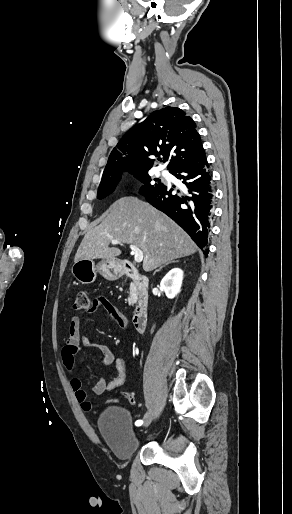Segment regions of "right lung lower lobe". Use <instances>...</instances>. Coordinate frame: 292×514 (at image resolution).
I'll return each mask as SVG.
<instances>
[{"label": "right lung lower lobe", "mask_w": 292, "mask_h": 514, "mask_svg": "<svg viewBox=\"0 0 292 514\" xmlns=\"http://www.w3.org/2000/svg\"><path fill=\"white\" fill-rule=\"evenodd\" d=\"M170 173L182 180L181 187L163 184L143 196L180 225L207 256L213 187L205 154Z\"/></svg>", "instance_id": "1"}]
</instances>
